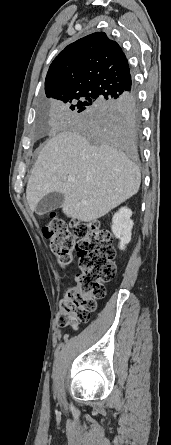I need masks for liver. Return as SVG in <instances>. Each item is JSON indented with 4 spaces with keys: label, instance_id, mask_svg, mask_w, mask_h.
Masks as SVG:
<instances>
[{
    "label": "liver",
    "instance_id": "1",
    "mask_svg": "<svg viewBox=\"0 0 171 445\" xmlns=\"http://www.w3.org/2000/svg\"><path fill=\"white\" fill-rule=\"evenodd\" d=\"M140 182V169L128 157L114 152L107 143L91 144L83 135L68 130L52 136L41 150L26 197L34 212L45 195L60 192L64 195L63 213L90 222L135 195Z\"/></svg>",
    "mask_w": 171,
    "mask_h": 445
}]
</instances>
